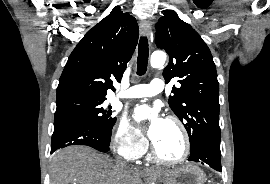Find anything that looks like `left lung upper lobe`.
<instances>
[{
    "label": "left lung upper lobe",
    "mask_w": 270,
    "mask_h": 184,
    "mask_svg": "<svg viewBox=\"0 0 270 184\" xmlns=\"http://www.w3.org/2000/svg\"><path fill=\"white\" fill-rule=\"evenodd\" d=\"M156 45L170 57L163 71L166 83L178 79L169 104L184 124L191 150L202 139L220 140L219 83L211 52L200 35L174 12L156 24Z\"/></svg>",
    "instance_id": "5c2ea615"
}]
</instances>
